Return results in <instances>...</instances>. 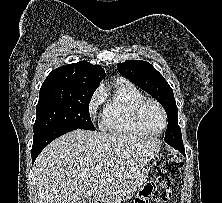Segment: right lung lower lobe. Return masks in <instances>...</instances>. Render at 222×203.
<instances>
[{
    "mask_svg": "<svg viewBox=\"0 0 222 203\" xmlns=\"http://www.w3.org/2000/svg\"><path fill=\"white\" fill-rule=\"evenodd\" d=\"M77 128L72 126H56L48 129L40 130L34 133L32 146V163H34L40 152L57 137L75 130Z\"/></svg>",
    "mask_w": 222,
    "mask_h": 203,
    "instance_id": "1",
    "label": "right lung lower lobe"
}]
</instances>
